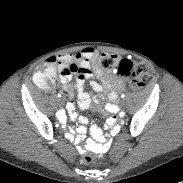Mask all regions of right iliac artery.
<instances>
[{"label":"right iliac artery","mask_w":183,"mask_h":183,"mask_svg":"<svg viewBox=\"0 0 183 183\" xmlns=\"http://www.w3.org/2000/svg\"><path fill=\"white\" fill-rule=\"evenodd\" d=\"M58 97H61V95L58 94ZM57 116H58L59 118H62V117L64 116V112H62V111L57 112Z\"/></svg>","instance_id":"obj_1"}]
</instances>
